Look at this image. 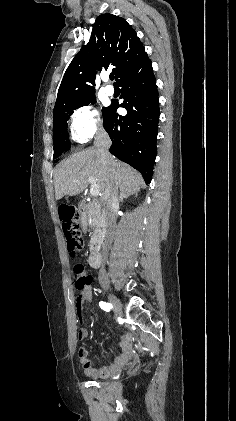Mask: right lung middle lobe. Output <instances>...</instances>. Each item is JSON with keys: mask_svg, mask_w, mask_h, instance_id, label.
<instances>
[{"mask_svg": "<svg viewBox=\"0 0 236 421\" xmlns=\"http://www.w3.org/2000/svg\"><path fill=\"white\" fill-rule=\"evenodd\" d=\"M95 97H89L82 100L74 101L62 105L53 112V119H54V158L59 157L64 151H68L70 149V141L67 132V121L73 111L79 107L88 105L91 102H94ZM107 108H103L102 112L106 111Z\"/></svg>", "mask_w": 236, "mask_h": 421, "instance_id": "right-lung-middle-lobe-1", "label": "right lung middle lobe"}]
</instances>
